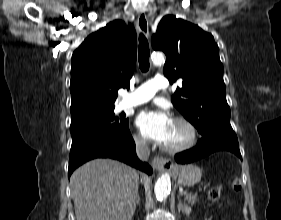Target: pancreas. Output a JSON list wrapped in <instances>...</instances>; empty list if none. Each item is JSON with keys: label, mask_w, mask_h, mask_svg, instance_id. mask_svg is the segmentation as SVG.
Masks as SVG:
<instances>
[{"label": "pancreas", "mask_w": 281, "mask_h": 220, "mask_svg": "<svg viewBox=\"0 0 281 220\" xmlns=\"http://www.w3.org/2000/svg\"><path fill=\"white\" fill-rule=\"evenodd\" d=\"M185 196V199L191 204H195V202L197 201V197L195 195H193L192 193H188V192H184L183 193Z\"/></svg>", "instance_id": "1"}]
</instances>
